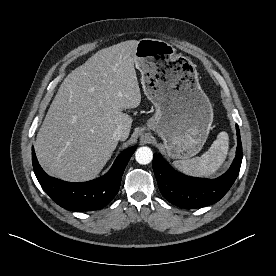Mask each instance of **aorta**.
I'll list each match as a JSON object with an SVG mask.
<instances>
[{
    "label": "aorta",
    "instance_id": "aorta-1",
    "mask_svg": "<svg viewBox=\"0 0 276 276\" xmlns=\"http://www.w3.org/2000/svg\"><path fill=\"white\" fill-rule=\"evenodd\" d=\"M135 159L139 164H149L153 159V152L149 147H140L135 152Z\"/></svg>",
    "mask_w": 276,
    "mask_h": 276
}]
</instances>
